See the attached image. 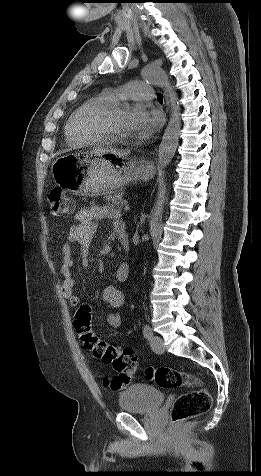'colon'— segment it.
Masks as SVG:
<instances>
[{"mask_svg":"<svg viewBox=\"0 0 261 476\" xmlns=\"http://www.w3.org/2000/svg\"><path fill=\"white\" fill-rule=\"evenodd\" d=\"M50 214L62 218L73 211V203L60 187L53 188L48 195ZM74 326L84 347L96 358L111 364L117 371L116 377L106 378L104 385L114 391L128 386L138 366V357L131 348H121L107 343L92 329V311L88 305L81 306L75 315ZM146 377L159 387L171 389L182 386H196L195 389L181 394L171 408L173 423L207 412L212 404L211 394L201 386L194 375L170 367L148 368Z\"/></svg>","mask_w":261,"mask_h":476,"instance_id":"obj_1","label":"colon"}]
</instances>
